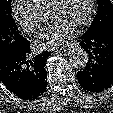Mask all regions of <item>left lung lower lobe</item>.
I'll return each mask as SVG.
<instances>
[{
  "mask_svg": "<svg viewBox=\"0 0 113 113\" xmlns=\"http://www.w3.org/2000/svg\"><path fill=\"white\" fill-rule=\"evenodd\" d=\"M80 46L88 54L84 70L77 72L83 89L102 92L113 84V28L97 33H84Z\"/></svg>",
  "mask_w": 113,
  "mask_h": 113,
  "instance_id": "1",
  "label": "left lung lower lobe"
}]
</instances>
